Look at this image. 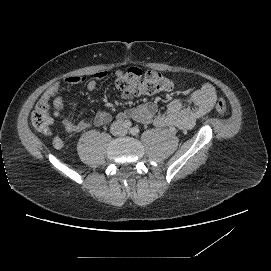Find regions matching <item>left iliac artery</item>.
<instances>
[{
  "label": "left iliac artery",
  "mask_w": 271,
  "mask_h": 271,
  "mask_svg": "<svg viewBox=\"0 0 271 271\" xmlns=\"http://www.w3.org/2000/svg\"><path fill=\"white\" fill-rule=\"evenodd\" d=\"M139 132H140V129L138 127H133V128L130 129V133L132 135H138Z\"/></svg>",
  "instance_id": "44dca946"
}]
</instances>
